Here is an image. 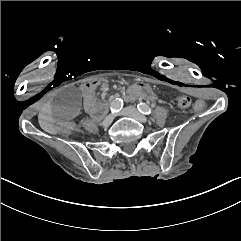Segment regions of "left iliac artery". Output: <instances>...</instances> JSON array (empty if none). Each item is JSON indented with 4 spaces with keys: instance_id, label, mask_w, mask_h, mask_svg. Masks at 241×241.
<instances>
[{
    "instance_id": "left-iliac-artery-1",
    "label": "left iliac artery",
    "mask_w": 241,
    "mask_h": 241,
    "mask_svg": "<svg viewBox=\"0 0 241 241\" xmlns=\"http://www.w3.org/2000/svg\"><path fill=\"white\" fill-rule=\"evenodd\" d=\"M137 108L141 113H143L145 115H149L152 113L151 108L148 105H146L145 103H139L137 105Z\"/></svg>"
}]
</instances>
